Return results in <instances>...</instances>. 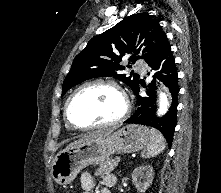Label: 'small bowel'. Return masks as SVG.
Wrapping results in <instances>:
<instances>
[{
  "label": "small bowel",
  "mask_w": 221,
  "mask_h": 193,
  "mask_svg": "<svg viewBox=\"0 0 221 193\" xmlns=\"http://www.w3.org/2000/svg\"><path fill=\"white\" fill-rule=\"evenodd\" d=\"M84 193H90L95 185L94 176L89 172H83L80 177ZM114 184L112 176H103L100 182V193H111L109 187Z\"/></svg>",
  "instance_id": "small-bowel-1"
}]
</instances>
